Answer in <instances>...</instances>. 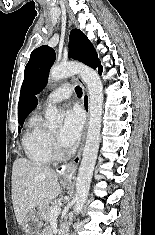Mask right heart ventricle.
Instances as JSON below:
<instances>
[{"instance_id": "obj_1", "label": "right heart ventricle", "mask_w": 155, "mask_h": 235, "mask_svg": "<svg viewBox=\"0 0 155 235\" xmlns=\"http://www.w3.org/2000/svg\"><path fill=\"white\" fill-rule=\"evenodd\" d=\"M22 145L27 158L34 163L48 164L53 160L50 131L38 113L29 118Z\"/></svg>"}]
</instances>
